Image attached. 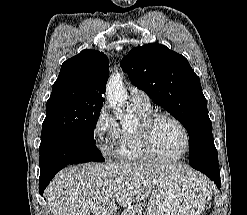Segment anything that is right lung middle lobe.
<instances>
[{
  "label": "right lung middle lobe",
  "mask_w": 247,
  "mask_h": 215,
  "mask_svg": "<svg viewBox=\"0 0 247 215\" xmlns=\"http://www.w3.org/2000/svg\"><path fill=\"white\" fill-rule=\"evenodd\" d=\"M103 102L75 96L63 89L51 93L46 104L41 142L55 135H75L94 141V128Z\"/></svg>",
  "instance_id": "1"
}]
</instances>
